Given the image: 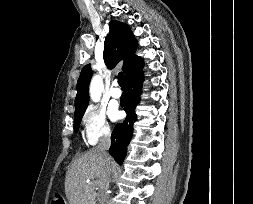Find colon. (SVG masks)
<instances>
[{
  "label": "colon",
  "mask_w": 253,
  "mask_h": 204,
  "mask_svg": "<svg viewBox=\"0 0 253 204\" xmlns=\"http://www.w3.org/2000/svg\"><path fill=\"white\" fill-rule=\"evenodd\" d=\"M63 199L60 195H55L53 196L52 200H51V204H63Z\"/></svg>",
  "instance_id": "obj_1"
}]
</instances>
